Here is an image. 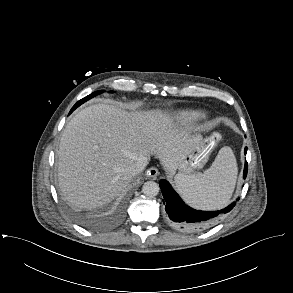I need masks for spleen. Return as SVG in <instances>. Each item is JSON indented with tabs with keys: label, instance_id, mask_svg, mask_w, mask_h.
Wrapping results in <instances>:
<instances>
[{
	"label": "spleen",
	"instance_id": "3e777b00",
	"mask_svg": "<svg viewBox=\"0 0 293 293\" xmlns=\"http://www.w3.org/2000/svg\"><path fill=\"white\" fill-rule=\"evenodd\" d=\"M237 178V162L231 148L223 147L212 166L204 171L176 179V187L193 207L213 210L225 206L233 193Z\"/></svg>",
	"mask_w": 293,
	"mask_h": 293
}]
</instances>
